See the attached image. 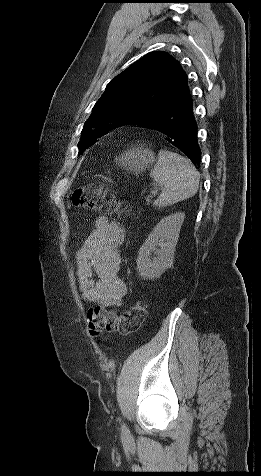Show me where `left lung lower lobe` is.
Here are the masks:
<instances>
[{"mask_svg":"<svg viewBox=\"0 0 261 476\" xmlns=\"http://www.w3.org/2000/svg\"><path fill=\"white\" fill-rule=\"evenodd\" d=\"M138 124L162 133L171 146L182 151L194 164H200L201 151L190 92L162 113Z\"/></svg>","mask_w":261,"mask_h":476,"instance_id":"1","label":"left lung lower lobe"}]
</instances>
